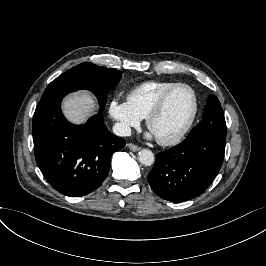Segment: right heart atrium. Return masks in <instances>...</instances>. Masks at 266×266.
I'll return each instance as SVG.
<instances>
[{"instance_id":"d8ad5b80","label":"right heart atrium","mask_w":266,"mask_h":266,"mask_svg":"<svg viewBox=\"0 0 266 266\" xmlns=\"http://www.w3.org/2000/svg\"><path fill=\"white\" fill-rule=\"evenodd\" d=\"M108 110L110 116L117 122L119 130L123 133L138 126L142 119L128 100H120L118 97L110 99Z\"/></svg>"}]
</instances>
